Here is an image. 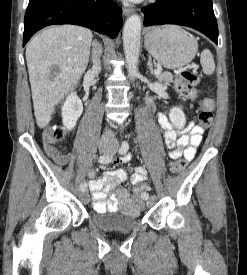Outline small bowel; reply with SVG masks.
Masks as SVG:
<instances>
[{"mask_svg": "<svg viewBox=\"0 0 247 275\" xmlns=\"http://www.w3.org/2000/svg\"><path fill=\"white\" fill-rule=\"evenodd\" d=\"M164 132V140L167 148L171 150L170 157L173 160L183 157L186 161H191L197 148L202 141L204 129L201 126L190 122L183 130H176L169 118L160 113L157 117ZM45 151L47 155L58 165L64 166L69 162V157L59 153L52 145L46 144ZM131 159L126 155L117 159V163H127ZM89 188L92 192L93 209L96 212H117L121 211L128 214H138L143 206L141 197L131 195L120 184L127 178L126 173L121 169L107 170L97 178L95 169L87 173ZM147 179V171L143 166H137L131 177V183L135 186L143 184ZM113 191L108 200L106 195Z\"/></svg>", "mask_w": 247, "mask_h": 275, "instance_id": "obj_1", "label": "small bowel"}]
</instances>
